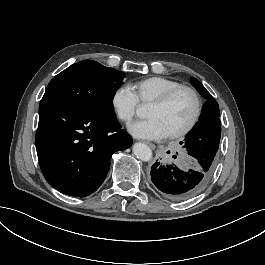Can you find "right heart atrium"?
I'll list each match as a JSON object with an SVG mask.
<instances>
[{
	"instance_id": "d8ad5b80",
	"label": "right heart atrium",
	"mask_w": 265,
	"mask_h": 265,
	"mask_svg": "<svg viewBox=\"0 0 265 265\" xmlns=\"http://www.w3.org/2000/svg\"><path fill=\"white\" fill-rule=\"evenodd\" d=\"M111 113L117 122L129 124L134 118L142 115V108L137 105L134 92L130 91L125 85L117 88L110 103Z\"/></svg>"
}]
</instances>
